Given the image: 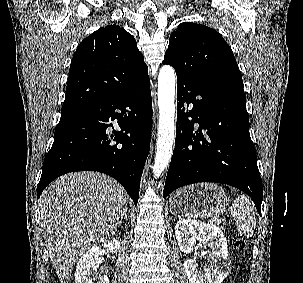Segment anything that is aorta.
<instances>
[{
    "label": "aorta",
    "instance_id": "aorta-1",
    "mask_svg": "<svg viewBox=\"0 0 303 283\" xmlns=\"http://www.w3.org/2000/svg\"><path fill=\"white\" fill-rule=\"evenodd\" d=\"M175 82V70L169 65H164L158 76L159 129L153 165L154 178L161 176L172 157L175 140Z\"/></svg>",
    "mask_w": 303,
    "mask_h": 283
}]
</instances>
